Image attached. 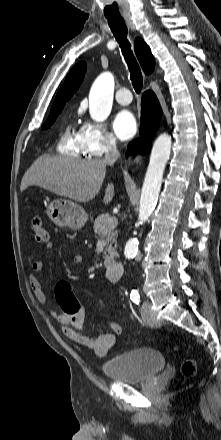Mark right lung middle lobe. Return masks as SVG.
Returning a JSON list of instances; mask_svg holds the SVG:
<instances>
[{
	"label": "right lung middle lobe",
	"mask_w": 221,
	"mask_h": 440,
	"mask_svg": "<svg viewBox=\"0 0 221 440\" xmlns=\"http://www.w3.org/2000/svg\"><path fill=\"white\" fill-rule=\"evenodd\" d=\"M62 109H63V106H59V107L51 109L49 117H48L47 121L45 122V124L42 126V128L46 129V128L50 127L54 123V121L56 120L57 116L62 111Z\"/></svg>",
	"instance_id": "1"
}]
</instances>
